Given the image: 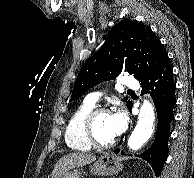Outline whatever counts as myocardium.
I'll list each match as a JSON object with an SVG mask.
<instances>
[{
    "label": "myocardium",
    "mask_w": 194,
    "mask_h": 178,
    "mask_svg": "<svg viewBox=\"0 0 194 178\" xmlns=\"http://www.w3.org/2000/svg\"><path fill=\"white\" fill-rule=\"evenodd\" d=\"M110 111L106 107H93L85 116L82 123V130L85 139L94 147L98 148H110L116 144L118 138L115 137L108 142H102L97 139L94 131V124L96 118L101 114H109Z\"/></svg>",
    "instance_id": "1"
}]
</instances>
